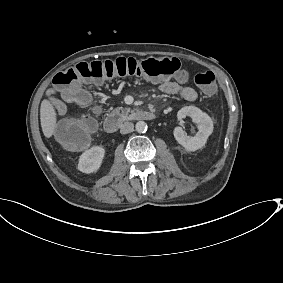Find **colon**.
I'll use <instances>...</instances> for the list:
<instances>
[{"label": "colon", "mask_w": 283, "mask_h": 283, "mask_svg": "<svg viewBox=\"0 0 283 283\" xmlns=\"http://www.w3.org/2000/svg\"><path fill=\"white\" fill-rule=\"evenodd\" d=\"M180 69L176 58L135 59L120 57L114 60L81 62L58 73L53 80L55 87L70 103L83 107L97 108L91 94L83 88V83L104 81L116 77H142L147 79H168ZM195 84L207 95L217 90L213 72L199 73ZM96 129V121L90 116L73 117L61 121L55 128V137L59 143L69 149L86 147Z\"/></svg>", "instance_id": "colon-1"}]
</instances>
